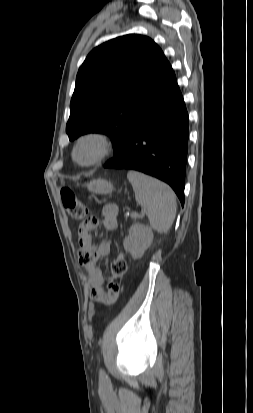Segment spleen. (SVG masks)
I'll use <instances>...</instances> for the list:
<instances>
[{
	"instance_id": "spleen-1",
	"label": "spleen",
	"mask_w": 253,
	"mask_h": 413,
	"mask_svg": "<svg viewBox=\"0 0 253 413\" xmlns=\"http://www.w3.org/2000/svg\"><path fill=\"white\" fill-rule=\"evenodd\" d=\"M127 178L132 184L136 201L143 207L151 226L159 233L171 228L176 216V196L165 183L143 173L130 170Z\"/></svg>"
}]
</instances>
